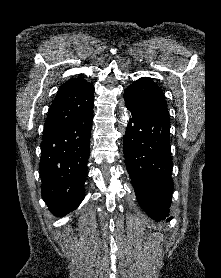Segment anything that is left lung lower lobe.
<instances>
[{
    "instance_id": "1",
    "label": "left lung lower lobe",
    "mask_w": 221,
    "mask_h": 278,
    "mask_svg": "<svg viewBox=\"0 0 221 278\" xmlns=\"http://www.w3.org/2000/svg\"><path fill=\"white\" fill-rule=\"evenodd\" d=\"M126 107L132 118L123 137L124 157L137 200L152 219L164 220L169 216L173 192L169 113H143Z\"/></svg>"
}]
</instances>
